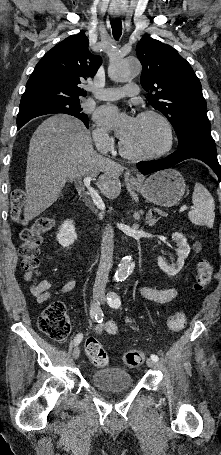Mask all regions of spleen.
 I'll return each instance as SVG.
<instances>
[{"label": "spleen", "instance_id": "obj_1", "mask_svg": "<svg viewBox=\"0 0 221 455\" xmlns=\"http://www.w3.org/2000/svg\"><path fill=\"white\" fill-rule=\"evenodd\" d=\"M194 209L188 213L189 220L195 225L213 227L215 203L210 192L201 183L196 182L192 195Z\"/></svg>", "mask_w": 221, "mask_h": 455}]
</instances>
